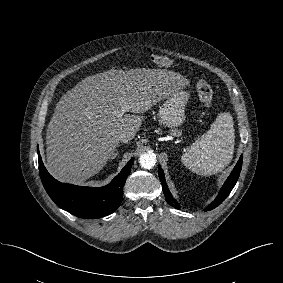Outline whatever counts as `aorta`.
Masks as SVG:
<instances>
[{"label": "aorta", "mask_w": 283, "mask_h": 283, "mask_svg": "<svg viewBox=\"0 0 283 283\" xmlns=\"http://www.w3.org/2000/svg\"><path fill=\"white\" fill-rule=\"evenodd\" d=\"M139 163L144 169H152L156 164V156L153 153H144L140 156Z\"/></svg>", "instance_id": "762f6f07"}]
</instances>
